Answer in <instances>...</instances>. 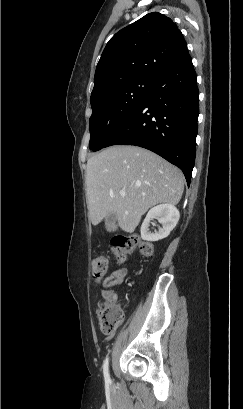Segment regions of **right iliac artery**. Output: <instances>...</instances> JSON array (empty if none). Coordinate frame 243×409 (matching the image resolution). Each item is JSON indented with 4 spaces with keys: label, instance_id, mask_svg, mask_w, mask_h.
I'll return each instance as SVG.
<instances>
[{
    "label": "right iliac artery",
    "instance_id": "obj_1",
    "mask_svg": "<svg viewBox=\"0 0 243 409\" xmlns=\"http://www.w3.org/2000/svg\"><path fill=\"white\" fill-rule=\"evenodd\" d=\"M108 363H109V358L106 357V359L104 360V363H103V374H104L105 383L107 385L111 383V379H110V376H109Z\"/></svg>",
    "mask_w": 243,
    "mask_h": 409
}]
</instances>
